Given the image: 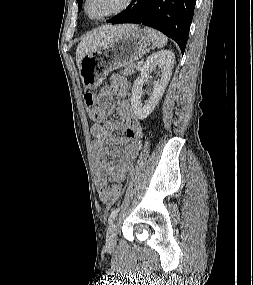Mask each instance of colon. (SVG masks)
Instances as JSON below:
<instances>
[{"instance_id": "5ec220e1", "label": "colon", "mask_w": 253, "mask_h": 285, "mask_svg": "<svg viewBox=\"0 0 253 285\" xmlns=\"http://www.w3.org/2000/svg\"><path fill=\"white\" fill-rule=\"evenodd\" d=\"M84 101H85L86 108L88 110H91L96 104L95 95L92 92H87L84 96ZM114 190L116 193L121 194L122 186L120 184H115Z\"/></svg>"}]
</instances>
